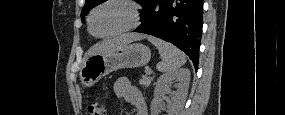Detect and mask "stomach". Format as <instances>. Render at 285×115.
Here are the masks:
<instances>
[{
    "instance_id": "1",
    "label": "stomach",
    "mask_w": 285,
    "mask_h": 115,
    "mask_svg": "<svg viewBox=\"0 0 285 115\" xmlns=\"http://www.w3.org/2000/svg\"><path fill=\"white\" fill-rule=\"evenodd\" d=\"M150 58V49L141 43L127 44L105 54L90 55L82 65L80 80L85 87H91L113 71L142 67Z\"/></svg>"
}]
</instances>
